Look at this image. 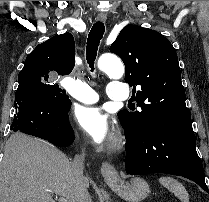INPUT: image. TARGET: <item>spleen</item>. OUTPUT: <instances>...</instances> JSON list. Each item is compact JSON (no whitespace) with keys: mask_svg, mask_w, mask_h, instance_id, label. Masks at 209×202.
Segmentation results:
<instances>
[{"mask_svg":"<svg viewBox=\"0 0 209 202\" xmlns=\"http://www.w3.org/2000/svg\"><path fill=\"white\" fill-rule=\"evenodd\" d=\"M159 183L173 193L182 202H189V194L185 187L172 177L163 176L158 179Z\"/></svg>","mask_w":209,"mask_h":202,"instance_id":"spleen-1","label":"spleen"}]
</instances>
